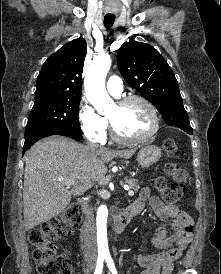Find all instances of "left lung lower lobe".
Listing matches in <instances>:
<instances>
[{
  "mask_svg": "<svg viewBox=\"0 0 221 274\" xmlns=\"http://www.w3.org/2000/svg\"><path fill=\"white\" fill-rule=\"evenodd\" d=\"M163 119L168 125L181 128L188 134L192 135V128L189 124L188 115H187V112L185 111L184 107H180L177 110H173L168 115H166ZM175 119L181 120V122L175 123L174 122Z\"/></svg>",
  "mask_w": 221,
  "mask_h": 274,
  "instance_id": "1",
  "label": "left lung lower lobe"
}]
</instances>
